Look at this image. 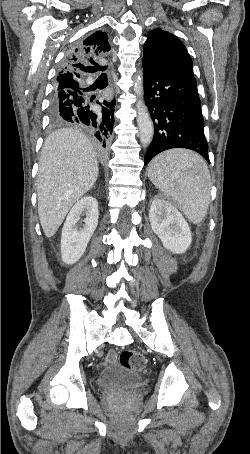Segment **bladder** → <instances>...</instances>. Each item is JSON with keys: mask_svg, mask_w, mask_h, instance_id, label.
<instances>
[{"mask_svg": "<svg viewBox=\"0 0 250 454\" xmlns=\"http://www.w3.org/2000/svg\"><path fill=\"white\" fill-rule=\"evenodd\" d=\"M144 383V375L136 373L121 364H111L99 371L95 386L105 390H131Z\"/></svg>", "mask_w": 250, "mask_h": 454, "instance_id": "obj_1", "label": "bladder"}]
</instances>
